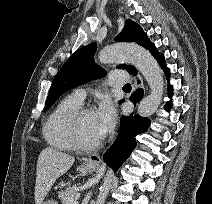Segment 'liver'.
<instances>
[{"mask_svg": "<svg viewBox=\"0 0 212 204\" xmlns=\"http://www.w3.org/2000/svg\"><path fill=\"white\" fill-rule=\"evenodd\" d=\"M74 157L51 147L44 148L38 157L35 204H42L56 179L65 174L73 165Z\"/></svg>", "mask_w": 212, "mask_h": 204, "instance_id": "6515ba94", "label": "liver"}]
</instances>
